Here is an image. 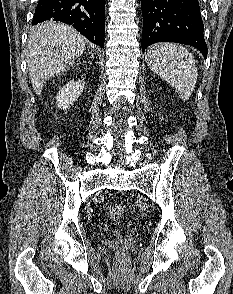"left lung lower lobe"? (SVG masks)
I'll list each match as a JSON object with an SVG mask.
<instances>
[{
	"label": "left lung lower lobe",
	"mask_w": 233,
	"mask_h": 294,
	"mask_svg": "<svg viewBox=\"0 0 233 294\" xmlns=\"http://www.w3.org/2000/svg\"><path fill=\"white\" fill-rule=\"evenodd\" d=\"M142 50L157 42L191 45L207 57L198 0H141Z\"/></svg>",
	"instance_id": "left-lung-lower-lobe-1"
}]
</instances>
